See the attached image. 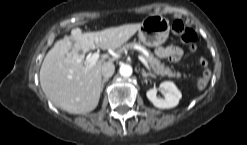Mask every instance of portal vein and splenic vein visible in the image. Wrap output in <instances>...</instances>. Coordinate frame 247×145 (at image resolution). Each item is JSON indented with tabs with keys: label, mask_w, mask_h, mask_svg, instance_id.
<instances>
[{
	"label": "portal vein and splenic vein",
	"mask_w": 247,
	"mask_h": 145,
	"mask_svg": "<svg viewBox=\"0 0 247 145\" xmlns=\"http://www.w3.org/2000/svg\"><path fill=\"white\" fill-rule=\"evenodd\" d=\"M99 57H100L99 53H94L92 56L86 58V60L84 61V64L87 67L92 66L98 61ZM107 57L108 55H102V58H107ZM138 58L143 63V65L151 72V68L148 62L146 61V59L142 56H139Z\"/></svg>",
	"instance_id": "obj_1"
}]
</instances>
